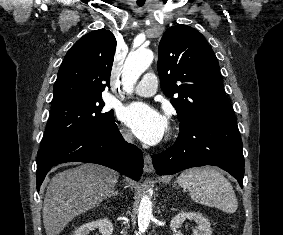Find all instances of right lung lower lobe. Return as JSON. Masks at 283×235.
Listing matches in <instances>:
<instances>
[{
	"mask_svg": "<svg viewBox=\"0 0 283 235\" xmlns=\"http://www.w3.org/2000/svg\"><path fill=\"white\" fill-rule=\"evenodd\" d=\"M73 161L101 164L136 181L143 172L142 151L126 144L114 122L94 133L75 135L40 148L37 154V190L52 166Z\"/></svg>",
	"mask_w": 283,
	"mask_h": 235,
	"instance_id": "obj_1",
	"label": "right lung lower lobe"
}]
</instances>
